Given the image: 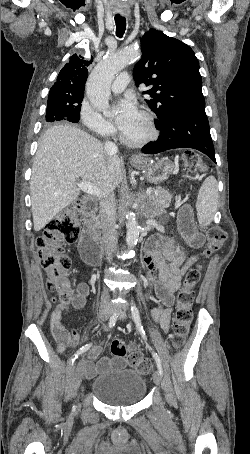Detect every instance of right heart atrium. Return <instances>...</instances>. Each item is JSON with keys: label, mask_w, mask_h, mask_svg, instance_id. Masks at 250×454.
<instances>
[{"label": "right heart atrium", "mask_w": 250, "mask_h": 454, "mask_svg": "<svg viewBox=\"0 0 250 454\" xmlns=\"http://www.w3.org/2000/svg\"><path fill=\"white\" fill-rule=\"evenodd\" d=\"M79 115L80 120L87 131L100 137H107L114 133L113 125L105 120L86 99L81 103Z\"/></svg>", "instance_id": "right-heart-atrium-1"}]
</instances>
